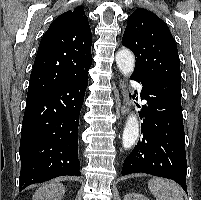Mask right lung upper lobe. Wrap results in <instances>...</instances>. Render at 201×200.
<instances>
[{"label":"right lung upper lobe","instance_id":"obj_1","mask_svg":"<svg viewBox=\"0 0 201 200\" xmlns=\"http://www.w3.org/2000/svg\"><path fill=\"white\" fill-rule=\"evenodd\" d=\"M91 35L82 7L57 17L39 44L28 94L55 88L88 70L92 64Z\"/></svg>","mask_w":201,"mask_h":200}]
</instances>
